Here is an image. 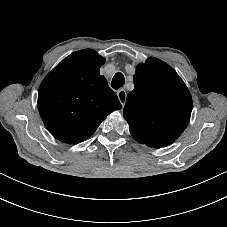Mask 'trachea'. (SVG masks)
<instances>
[{"label": "trachea", "mask_w": 227, "mask_h": 227, "mask_svg": "<svg viewBox=\"0 0 227 227\" xmlns=\"http://www.w3.org/2000/svg\"><path fill=\"white\" fill-rule=\"evenodd\" d=\"M124 83H125V78L123 73L117 72L112 79L111 86L115 90H118L120 87L124 85Z\"/></svg>", "instance_id": "3493384b"}]
</instances>
